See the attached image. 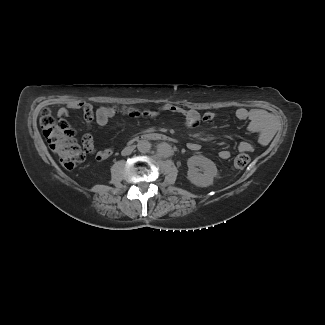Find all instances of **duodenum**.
I'll return each instance as SVG.
<instances>
[{
    "label": "duodenum",
    "mask_w": 325,
    "mask_h": 325,
    "mask_svg": "<svg viewBox=\"0 0 325 325\" xmlns=\"http://www.w3.org/2000/svg\"><path fill=\"white\" fill-rule=\"evenodd\" d=\"M138 140H155V141L168 142L169 137L166 134L161 132H148L132 139V141H138Z\"/></svg>",
    "instance_id": "duodenum-1"
}]
</instances>
